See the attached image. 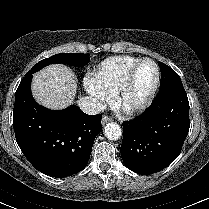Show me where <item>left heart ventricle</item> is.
<instances>
[{
  "mask_svg": "<svg viewBox=\"0 0 209 209\" xmlns=\"http://www.w3.org/2000/svg\"><path fill=\"white\" fill-rule=\"evenodd\" d=\"M155 81V68L150 62L140 64L132 77L125 95V104L135 106L142 103L149 95Z\"/></svg>",
  "mask_w": 209,
  "mask_h": 209,
  "instance_id": "left-heart-ventricle-1",
  "label": "left heart ventricle"
}]
</instances>
